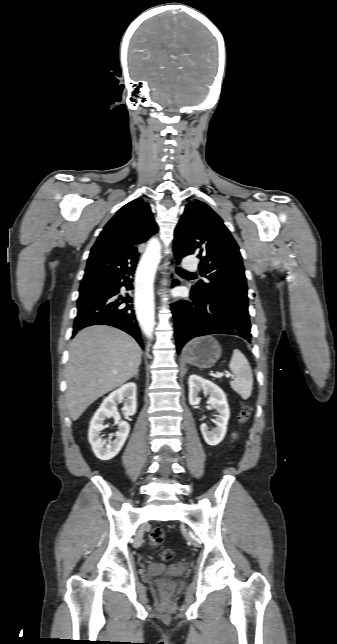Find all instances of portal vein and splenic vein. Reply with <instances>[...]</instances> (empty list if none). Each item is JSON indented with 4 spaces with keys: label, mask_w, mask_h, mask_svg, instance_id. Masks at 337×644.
Masks as SVG:
<instances>
[{
    "label": "portal vein and splenic vein",
    "mask_w": 337,
    "mask_h": 644,
    "mask_svg": "<svg viewBox=\"0 0 337 644\" xmlns=\"http://www.w3.org/2000/svg\"><path fill=\"white\" fill-rule=\"evenodd\" d=\"M217 376H218V377H221V376H222V373H219ZM226 377H228V378H229V377H233V375H232V374H230V373H226Z\"/></svg>",
    "instance_id": "obj_1"
}]
</instances>
